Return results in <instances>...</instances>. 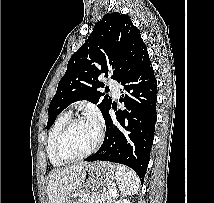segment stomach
I'll return each mask as SVG.
<instances>
[{
  "instance_id": "obj_1",
  "label": "stomach",
  "mask_w": 214,
  "mask_h": 203,
  "mask_svg": "<svg viewBox=\"0 0 214 203\" xmlns=\"http://www.w3.org/2000/svg\"><path fill=\"white\" fill-rule=\"evenodd\" d=\"M116 169L109 163L94 162L86 165L82 171L79 187L67 203H101L105 193L115 187Z\"/></svg>"
}]
</instances>
